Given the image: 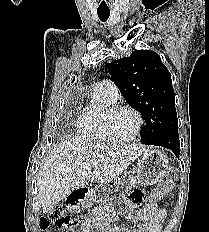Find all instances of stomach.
I'll return each instance as SVG.
<instances>
[{"label":"stomach","mask_w":209,"mask_h":232,"mask_svg":"<svg viewBox=\"0 0 209 232\" xmlns=\"http://www.w3.org/2000/svg\"><path fill=\"white\" fill-rule=\"evenodd\" d=\"M168 157L159 150H152L142 155L135 169L123 171V176L115 178V182H104V186H91L87 191L82 206H97L101 199H123L124 191L135 185H153L168 173ZM74 213L73 209L69 210ZM77 221H86V216L76 214Z\"/></svg>","instance_id":"1"}]
</instances>
